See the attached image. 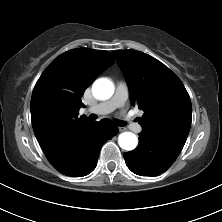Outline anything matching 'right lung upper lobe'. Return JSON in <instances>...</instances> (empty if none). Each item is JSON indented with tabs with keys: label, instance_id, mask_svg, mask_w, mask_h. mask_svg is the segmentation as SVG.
Masks as SVG:
<instances>
[{
	"label": "right lung upper lobe",
	"instance_id": "obj_1",
	"mask_svg": "<svg viewBox=\"0 0 222 222\" xmlns=\"http://www.w3.org/2000/svg\"><path fill=\"white\" fill-rule=\"evenodd\" d=\"M114 64L108 51L72 49L44 70L31 98L35 136L52 164L62 163L90 121L78 117L85 89Z\"/></svg>",
	"mask_w": 222,
	"mask_h": 222
}]
</instances>
